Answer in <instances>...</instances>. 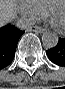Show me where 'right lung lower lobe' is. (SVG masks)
Returning a JSON list of instances; mask_svg holds the SVG:
<instances>
[{
	"mask_svg": "<svg viewBox=\"0 0 65 89\" xmlns=\"http://www.w3.org/2000/svg\"><path fill=\"white\" fill-rule=\"evenodd\" d=\"M23 33L10 25L0 27V70L13 61L18 40Z\"/></svg>",
	"mask_w": 65,
	"mask_h": 89,
	"instance_id": "right-lung-lower-lobe-1",
	"label": "right lung lower lobe"
}]
</instances>
